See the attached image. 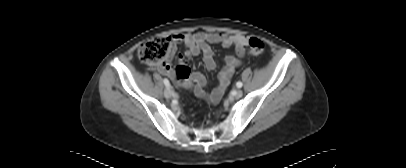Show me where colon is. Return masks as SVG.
<instances>
[{"instance_id": "5ec220e1", "label": "colon", "mask_w": 406, "mask_h": 168, "mask_svg": "<svg viewBox=\"0 0 406 168\" xmlns=\"http://www.w3.org/2000/svg\"><path fill=\"white\" fill-rule=\"evenodd\" d=\"M172 47L173 42L171 38L157 37L143 43L138 50V55L142 61L151 65H158L163 63L169 57ZM243 49L249 55L259 56L263 54L265 44L261 39L251 37L247 40ZM176 73L178 76H183L187 73V68L184 66H178L176 68Z\"/></svg>"}]
</instances>
